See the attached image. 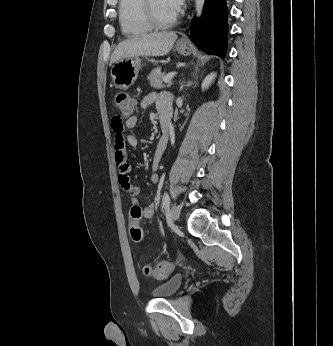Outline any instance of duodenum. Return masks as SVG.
Returning a JSON list of instances; mask_svg holds the SVG:
<instances>
[{
  "mask_svg": "<svg viewBox=\"0 0 333 346\" xmlns=\"http://www.w3.org/2000/svg\"><path fill=\"white\" fill-rule=\"evenodd\" d=\"M159 125L163 138H167L169 130H170V120L165 116L159 117Z\"/></svg>",
  "mask_w": 333,
  "mask_h": 346,
  "instance_id": "1",
  "label": "duodenum"
}]
</instances>
